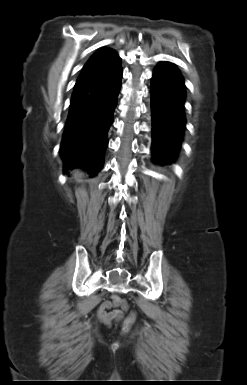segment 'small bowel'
Returning a JSON list of instances; mask_svg holds the SVG:
<instances>
[{
  "label": "small bowel",
  "instance_id": "obj_1",
  "mask_svg": "<svg viewBox=\"0 0 247 385\" xmlns=\"http://www.w3.org/2000/svg\"><path fill=\"white\" fill-rule=\"evenodd\" d=\"M125 308V300L117 294H112L108 300L100 304L97 310V316L103 323L112 324L122 318L123 312L121 309Z\"/></svg>",
  "mask_w": 247,
  "mask_h": 385
}]
</instances>
